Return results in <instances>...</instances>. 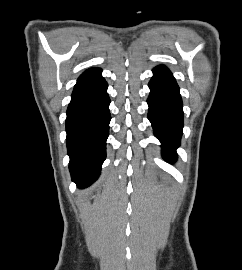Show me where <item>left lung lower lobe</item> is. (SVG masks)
<instances>
[{
  "instance_id": "obj_1",
  "label": "left lung lower lobe",
  "mask_w": 242,
  "mask_h": 270,
  "mask_svg": "<svg viewBox=\"0 0 242 270\" xmlns=\"http://www.w3.org/2000/svg\"><path fill=\"white\" fill-rule=\"evenodd\" d=\"M149 88L148 119L152 123L155 136L162 143L163 157L173 162L177 158L175 149L180 145L183 128L179 87L171 72L165 66H158L153 69Z\"/></svg>"
}]
</instances>
